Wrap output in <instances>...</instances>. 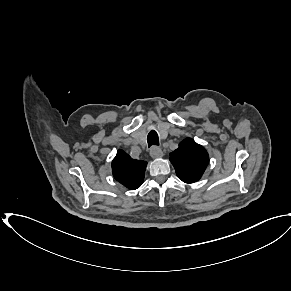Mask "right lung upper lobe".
Instances as JSON below:
<instances>
[{"label":"right lung upper lobe","instance_id":"1","mask_svg":"<svg viewBox=\"0 0 291 291\" xmlns=\"http://www.w3.org/2000/svg\"><path fill=\"white\" fill-rule=\"evenodd\" d=\"M146 165L147 162L132 159L123 150H118L112 161V173L118 182L134 190L143 183Z\"/></svg>","mask_w":291,"mask_h":291}]
</instances>
